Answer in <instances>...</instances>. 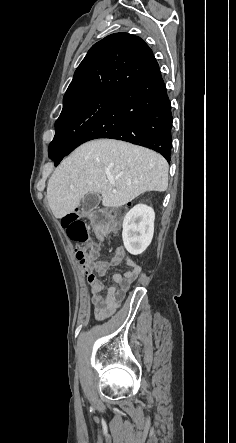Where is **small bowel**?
<instances>
[{
	"label": "small bowel",
	"instance_id": "small-bowel-1",
	"mask_svg": "<svg viewBox=\"0 0 236 443\" xmlns=\"http://www.w3.org/2000/svg\"><path fill=\"white\" fill-rule=\"evenodd\" d=\"M99 239L106 240L104 237H99ZM91 246L96 248L99 253L96 244H91ZM78 262L89 287L94 315L98 319L108 316L121 305L131 285L141 272V266L122 248H117L109 260ZM122 263H125L127 270L123 274L115 273L113 275L114 284L106 287L101 277L106 275L110 267Z\"/></svg>",
	"mask_w": 236,
	"mask_h": 443
}]
</instances>
